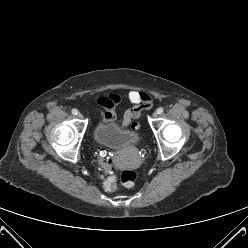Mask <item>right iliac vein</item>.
I'll list each match as a JSON object with an SVG mask.
<instances>
[{
    "label": "right iliac vein",
    "instance_id": "63e3f726",
    "mask_svg": "<svg viewBox=\"0 0 248 248\" xmlns=\"http://www.w3.org/2000/svg\"><path fill=\"white\" fill-rule=\"evenodd\" d=\"M78 118L82 119L83 118V115L81 113H78L77 114Z\"/></svg>",
    "mask_w": 248,
    "mask_h": 248
}]
</instances>
